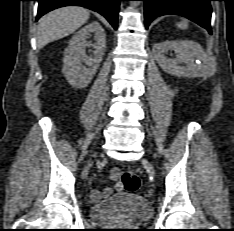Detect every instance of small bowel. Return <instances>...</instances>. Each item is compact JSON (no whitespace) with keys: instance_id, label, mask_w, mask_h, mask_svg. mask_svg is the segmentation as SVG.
I'll return each instance as SVG.
<instances>
[{"instance_id":"small-bowel-1","label":"small bowel","mask_w":234,"mask_h":231,"mask_svg":"<svg viewBox=\"0 0 234 231\" xmlns=\"http://www.w3.org/2000/svg\"><path fill=\"white\" fill-rule=\"evenodd\" d=\"M123 190V184L118 182L114 186L106 187L102 192L97 189H92L90 191L91 199L94 201H98L102 198H106L111 196L114 192H119Z\"/></svg>"}]
</instances>
